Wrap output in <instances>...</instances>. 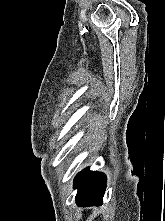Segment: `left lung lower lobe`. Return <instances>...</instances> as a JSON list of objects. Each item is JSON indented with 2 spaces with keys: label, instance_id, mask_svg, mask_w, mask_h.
<instances>
[{
  "label": "left lung lower lobe",
  "instance_id": "obj_1",
  "mask_svg": "<svg viewBox=\"0 0 165 221\" xmlns=\"http://www.w3.org/2000/svg\"><path fill=\"white\" fill-rule=\"evenodd\" d=\"M106 187V176L102 173L82 170L74 179V188L78 189L76 203L78 206H97L102 204Z\"/></svg>",
  "mask_w": 165,
  "mask_h": 221
}]
</instances>
